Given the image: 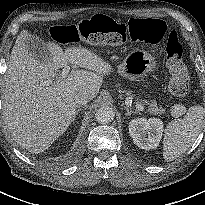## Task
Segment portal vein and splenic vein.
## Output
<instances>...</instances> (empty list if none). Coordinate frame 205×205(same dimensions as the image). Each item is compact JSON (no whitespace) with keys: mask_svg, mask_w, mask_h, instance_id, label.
<instances>
[{"mask_svg":"<svg viewBox=\"0 0 205 205\" xmlns=\"http://www.w3.org/2000/svg\"><path fill=\"white\" fill-rule=\"evenodd\" d=\"M70 71V67L69 66H65L64 69L62 70L60 76L62 79L66 78L68 73ZM52 83V80H47V81H44L43 84L44 85H50ZM136 108L139 110V111H143L144 110V107L140 104H137L136 105Z\"/></svg>","mask_w":205,"mask_h":205,"instance_id":"1","label":"portal vein and splenic vein"}]
</instances>
